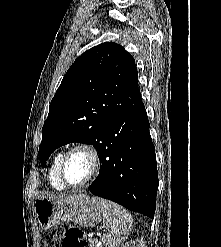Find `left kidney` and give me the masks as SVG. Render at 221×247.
<instances>
[{
    "label": "left kidney",
    "mask_w": 221,
    "mask_h": 247,
    "mask_svg": "<svg viewBox=\"0 0 221 247\" xmlns=\"http://www.w3.org/2000/svg\"><path fill=\"white\" fill-rule=\"evenodd\" d=\"M122 247H145V241L143 238H138L135 241L131 240L130 242H127Z\"/></svg>",
    "instance_id": "left-kidney-1"
}]
</instances>
